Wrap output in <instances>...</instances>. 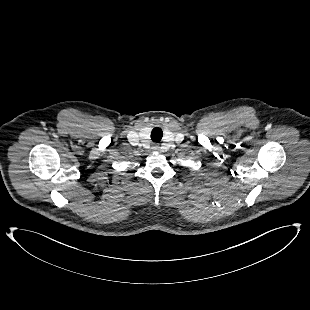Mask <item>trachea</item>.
<instances>
[{
  "label": "trachea",
  "mask_w": 310,
  "mask_h": 310,
  "mask_svg": "<svg viewBox=\"0 0 310 310\" xmlns=\"http://www.w3.org/2000/svg\"><path fill=\"white\" fill-rule=\"evenodd\" d=\"M163 132L160 128L155 127L151 132V139L154 142H159L162 139Z\"/></svg>",
  "instance_id": "1"
}]
</instances>
